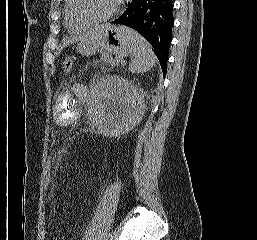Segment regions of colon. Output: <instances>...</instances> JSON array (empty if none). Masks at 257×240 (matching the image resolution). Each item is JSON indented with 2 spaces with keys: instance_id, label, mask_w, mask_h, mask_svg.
Wrapping results in <instances>:
<instances>
[{
  "instance_id": "1",
  "label": "colon",
  "mask_w": 257,
  "mask_h": 240,
  "mask_svg": "<svg viewBox=\"0 0 257 240\" xmlns=\"http://www.w3.org/2000/svg\"><path fill=\"white\" fill-rule=\"evenodd\" d=\"M75 64H76V57L67 56L63 61V65H62L63 71L65 73H70L73 70ZM53 175H54V162H53V157L50 155L48 157L47 165L44 171V182H45L46 189L50 188L53 180Z\"/></svg>"
}]
</instances>
